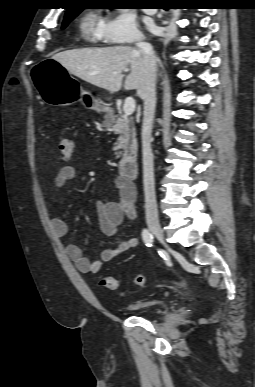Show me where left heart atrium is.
Returning <instances> with one entry per match:
<instances>
[{
    "label": "left heart atrium",
    "instance_id": "39dd6f15",
    "mask_svg": "<svg viewBox=\"0 0 255 387\" xmlns=\"http://www.w3.org/2000/svg\"><path fill=\"white\" fill-rule=\"evenodd\" d=\"M149 27H150L151 29H153V25H152V24H149Z\"/></svg>",
    "mask_w": 255,
    "mask_h": 387
}]
</instances>
